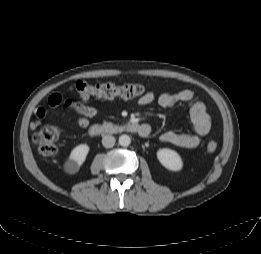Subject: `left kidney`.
I'll return each mask as SVG.
<instances>
[{
  "label": "left kidney",
  "instance_id": "5707ae66",
  "mask_svg": "<svg viewBox=\"0 0 261 254\" xmlns=\"http://www.w3.org/2000/svg\"><path fill=\"white\" fill-rule=\"evenodd\" d=\"M159 162L171 171H179L183 167V162L180 155L171 149H159L157 151Z\"/></svg>",
  "mask_w": 261,
  "mask_h": 254
}]
</instances>
